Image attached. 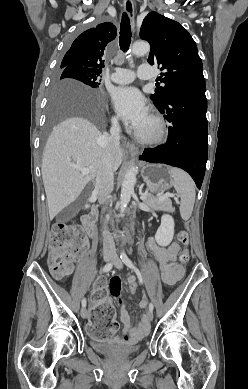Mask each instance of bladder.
Instances as JSON below:
<instances>
[{
  "label": "bladder",
  "instance_id": "1",
  "mask_svg": "<svg viewBox=\"0 0 248 389\" xmlns=\"http://www.w3.org/2000/svg\"><path fill=\"white\" fill-rule=\"evenodd\" d=\"M91 346L95 351L114 358L128 357L136 353L140 348L139 345H128L120 340L102 342L94 337L91 340Z\"/></svg>",
  "mask_w": 248,
  "mask_h": 389
}]
</instances>
